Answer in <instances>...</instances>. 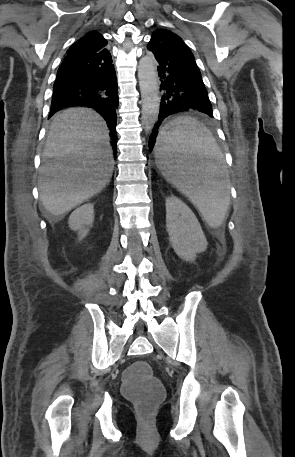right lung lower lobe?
<instances>
[{"mask_svg": "<svg viewBox=\"0 0 295 457\" xmlns=\"http://www.w3.org/2000/svg\"><path fill=\"white\" fill-rule=\"evenodd\" d=\"M74 105L94 108L103 116L116 151L117 79L108 49L64 58L54 83L49 118L56 111Z\"/></svg>", "mask_w": 295, "mask_h": 457, "instance_id": "98d812e1", "label": "right lung lower lobe"}]
</instances>
